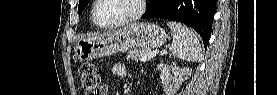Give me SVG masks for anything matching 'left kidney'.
<instances>
[{
    "label": "left kidney",
    "instance_id": "1",
    "mask_svg": "<svg viewBox=\"0 0 277 95\" xmlns=\"http://www.w3.org/2000/svg\"><path fill=\"white\" fill-rule=\"evenodd\" d=\"M189 74L190 71L188 68L182 69L176 66H165L161 68L160 78L165 90L172 92L179 88L182 81L188 77Z\"/></svg>",
    "mask_w": 277,
    "mask_h": 95
}]
</instances>
